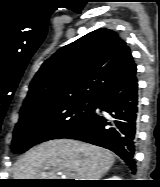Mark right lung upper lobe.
<instances>
[{"label":"right lung upper lobe","mask_w":160,"mask_h":187,"mask_svg":"<svg viewBox=\"0 0 160 187\" xmlns=\"http://www.w3.org/2000/svg\"><path fill=\"white\" fill-rule=\"evenodd\" d=\"M133 64L129 47L116 32L106 28L92 31L43 63L20 112L78 98H96Z\"/></svg>","instance_id":"cb5924a9"}]
</instances>
